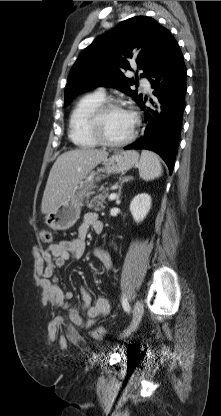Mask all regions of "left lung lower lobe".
Segmentation results:
<instances>
[{"instance_id":"0a47b994","label":"left lung lower lobe","mask_w":221,"mask_h":416,"mask_svg":"<svg viewBox=\"0 0 221 416\" xmlns=\"http://www.w3.org/2000/svg\"><path fill=\"white\" fill-rule=\"evenodd\" d=\"M154 89L153 106L140 103L145 114L144 135L124 149H148L159 154L173 171L185 109L187 70L182 52L169 31L156 54L148 74Z\"/></svg>"}]
</instances>
